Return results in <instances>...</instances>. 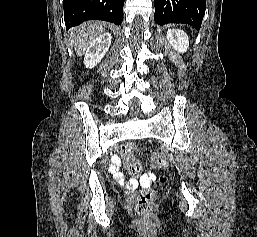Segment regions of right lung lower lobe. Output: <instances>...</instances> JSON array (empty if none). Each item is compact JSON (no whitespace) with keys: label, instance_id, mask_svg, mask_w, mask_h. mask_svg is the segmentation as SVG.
<instances>
[{"label":"right lung lower lobe","instance_id":"obj_1","mask_svg":"<svg viewBox=\"0 0 257 237\" xmlns=\"http://www.w3.org/2000/svg\"><path fill=\"white\" fill-rule=\"evenodd\" d=\"M66 27L77 26L87 20L122 23L124 0H63Z\"/></svg>","mask_w":257,"mask_h":237}]
</instances>
